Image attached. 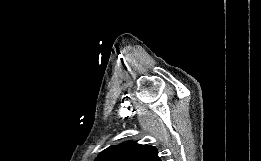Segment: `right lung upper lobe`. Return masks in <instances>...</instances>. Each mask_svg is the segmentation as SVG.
I'll return each instance as SVG.
<instances>
[{
	"label": "right lung upper lobe",
	"instance_id": "obj_1",
	"mask_svg": "<svg viewBox=\"0 0 261 161\" xmlns=\"http://www.w3.org/2000/svg\"><path fill=\"white\" fill-rule=\"evenodd\" d=\"M156 148L150 145L125 142L102 151L95 161H160Z\"/></svg>",
	"mask_w": 261,
	"mask_h": 161
}]
</instances>
